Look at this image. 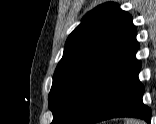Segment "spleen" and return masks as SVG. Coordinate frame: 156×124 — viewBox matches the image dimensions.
<instances>
[{
    "instance_id": "obj_1",
    "label": "spleen",
    "mask_w": 156,
    "mask_h": 124,
    "mask_svg": "<svg viewBox=\"0 0 156 124\" xmlns=\"http://www.w3.org/2000/svg\"><path fill=\"white\" fill-rule=\"evenodd\" d=\"M126 124H145L143 121L140 120H126Z\"/></svg>"
}]
</instances>
